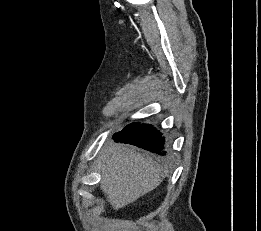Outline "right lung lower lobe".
<instances>
[{
  "mask_svg": "<svg viewBox=\"0 0 261 231\" xmlns=\"http://www.w3.org/2000/svg\"><path fill=\"white\" fill-rule=\"evenodd\" d=\"M113 139L116 142L129 143L161 156L166 155L164 150V138L152 125L132 123L115 133Z\"/></svg>",
  "mask_w": 261,
  "mask_h": 231,
  "instance_id": "1",
  "label": "right lung lower lobe"
}]
</instances>
